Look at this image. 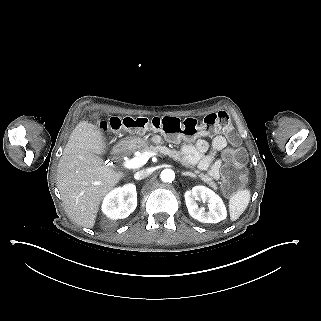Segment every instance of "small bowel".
I'll list each match as a JSON object with an SVG mask.
<instances>
[{
  "label": "small bowel",
  "instance_id": "small-bowel-1",
  "mask_svg": "<svg viewBox=\"0 0 321 321\" xmlns=\"http://www.w3.org/2000/svg\"><path fill=\"white\" fill-rule=\"evenodd\" d=\"M227 148V141L223 136H216L210 144L203 139L194 143L184 144L182 153L188 164L197 165L201 170H209V175L218 179L222 168V161L216 159V154ZM210 149V151H209Z\"/></svg>",
  "mask_w": 321,
  "mask_h": 321
}]
</instances>
